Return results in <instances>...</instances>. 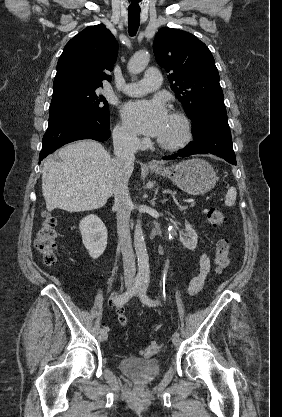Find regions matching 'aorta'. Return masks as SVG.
I'll use <instances>...</instances> for the list:
<instances>
[{"mask_svg":"<svg viewBox=\"0 0 282 417\" xmlns=\"http://www.w3.org/2000/svg\"><path fill=\"white\" fill-rule=\"evenodd\" d=\"M149 60L150 54L148 50H139V52H135L131 56L127 68L129 72L138 74V72H142L146 68ZM134 247L137 257V277L138 279H150L149 255L147 253L141 219H137L134 227Z\"/></svg>","mask_w":282,"mask_h":417,"instance_id":"762f6f07","label":"aorta"}]
</instances>
